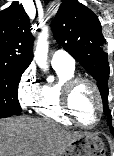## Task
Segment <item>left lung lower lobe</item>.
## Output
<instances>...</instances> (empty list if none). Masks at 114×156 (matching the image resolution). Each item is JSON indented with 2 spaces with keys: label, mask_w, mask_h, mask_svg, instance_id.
<instances>
[{
  "label": "left lung lower lobe",
  "mask_w": 114,
  "mask_h": 156,
  "mask_svg": "<svg viewBox=\"0 0 114 156\" xmlns=\"http://www.w3.org/2000/svg\"><path fill=\"white\" fill-rule=\"evenodd\" d=\"M111 132H112V134L114 135V130H112Z\"/></svg>",
  "instance_id": "left-lung-lower-lobe-1"
}]
</instances>
